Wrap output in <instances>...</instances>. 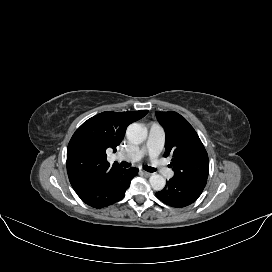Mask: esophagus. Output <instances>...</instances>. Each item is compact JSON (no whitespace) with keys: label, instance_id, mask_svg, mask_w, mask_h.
I'll use <instances>...</instances> for the list:
<instances>
[{"label":"esophagus","instance_id":"obj_1","mask_svg":"<svg viewBox=\"0 0 272 272\" xmlns=\"http://www.w3.org/2000/svg\"><path fill=\"white\" fill-rule=\"evenodd\" d=\"M143 173H144L145 176H151L152 175V173L147 172V171H143Z\"/></svg>","mask_w":272,"mask_h":272}]
</instances>
